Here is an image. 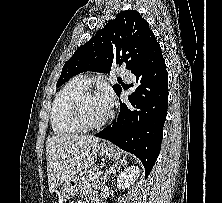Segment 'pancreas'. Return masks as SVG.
I'll return each instance as SVG.
<instances>
[{"instance_id": "obj_1", "label": "pancreas", "mask_w": 222, "mask_h": 203, "mask_svg": "<svg viewBox=\"0 0 222 203\" xmlns=\"http://www.w3.org/2000/svg\"><path fill=\"white\" fill-rule=\"evenodd\" d=\"M100 166H92L88 171L85 172L81 178V186L89 185L91 181H98L101 177V172L99 171Z\"/></svg>"}]
</instances>
